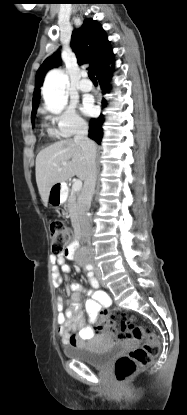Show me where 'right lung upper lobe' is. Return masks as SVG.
I'll use <instances>...</instances> for the list:
<instances>
[{"mask_svg": "<svg viewBox=\"0 0 187 415\" xmlns=\"http://www.w3.org/2000/svg\"><path fill=\"white\" fill-rule=\"evenodd\" d=\"M70 46L76 55L78 64L89 63L90 69L93 70L95 75L113 57L105 31L98 22L92 19H85L82 26L73 31ZM59 65L60 52H56L45 59L37 71L32 112L37 110L40 99V86L44 81L45 74Z\"/></svg>", "mask_w": 187, "mask_h": 415, "instance_id": "right-lung-upper-lobe-1", "label": "right lung upper lobe"}]
</instances>
